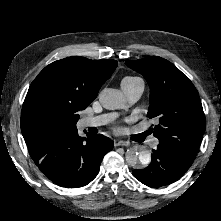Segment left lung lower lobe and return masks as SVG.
I'll list each match as a JSON object with an SVG mask.
<instances>
[{
  "instance_id": "1",
  "label": "left lung lower lobe",
  "mask_w": 221,
  "mask_h": 221,
  "mask_svg": "<svg viewBox=\"0 0 221 221\" xmlns=\"http://www.w3.org/2000/svg\"><path fill=\"white\" fill-rule=\"evenodd\" d=\"M152 151L153 155L149 166L132 172L136 179L149 187L157 188L177 181L193 162V160L161 145Z\"/></svg>"
}]
</instances>
